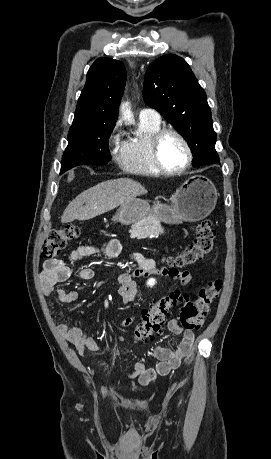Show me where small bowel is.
<instances>
[{
	"label": "small bowel",
	"mask_w": 271,
	"mask_h": 459,
	"mask_svg": "<svg viewBox=\"0 0 271 459\" xmlns=\"http://www.w3.org/2000/svg\"><path fill=\"white\" fill-rule=\"evenodd\" d=\"M121 246L117 239H109L101 244H84L70 251L68 259L71 262H77L83 258L103 255L106 258L113 259L120 255ZM129 258L137 264V268L131 273L119 275L120 284L118 294L124 303H130L135 300L137 295L136 278H146L151 274H159L165 278L179 281L181 285L187 286L192 283V276L188 271H180L175 268H158L155 261L145 258L140 253H132ZM71 276V270L65 261L61 259H51L44 263L40 274V285L44 295H50L53 292L57 294V299L62 304L73 303L78 299V292L66 290L57 287L58 284L67 281ZM78 278L90 280L94 276V271L90 267H81L77 272ZM134 321L133 316L126 317L117 326L125 328ZM167 328L170 332L180 336L178 342L172 343L171 346H157L154 351V357L158 363L151 368L145 367L142 363H135L131 367L129 374L130 379H137L141 385H147L158 376H165L172 370L179 367L182 360L192 351L194 343V334L192 330L184 328L177 318L169 320ZM57 330L64 335L71 343L74 344L78 353L85 357L86 351H99L103 348L95 339L88 337L83 330L65 324H58ZM106 395V389H103Z\"/></svg>",
	"instance_id": "obj_1"
}]
</instances>
